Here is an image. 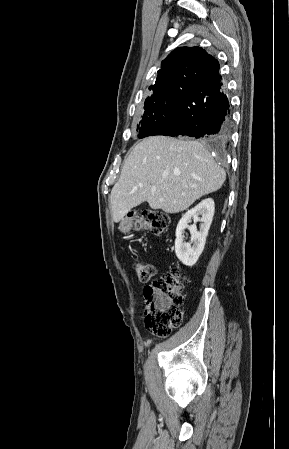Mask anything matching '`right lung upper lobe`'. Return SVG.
Segmentation results:
<instances>
[{
    "instance_id": "cb5924a9",
    "label": "right lung upper lobe",
    "mask_w": 289,
    "mask_h": 449,
    "mask_svg": "<svg viewBox=\"0 0 289 449\" xmlns=\"http://www.w3.org/2000/svg\"><path fill=\"white\" fill-rule=\"evenodd\" d=\"M218 61L201 47H180L161 63L155 84L149 87L152 95L169 92L177 81H198L212 78L219 72Z\"/></svg>"
}]
</instances>
